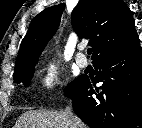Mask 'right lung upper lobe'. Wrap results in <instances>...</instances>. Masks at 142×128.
Returning <instances> with one entry per match:
<instances>
[{
  "mask_svg": "<svg viewBox=\"0 0 142 128\" xmlns=\"http://www.w3.org/2000/svg\"><path fill=\"white\" fill-rule=\"evenodd\" d=\"M63 9V4L54 5L33 19L20 45L16 66L38 60L58 28ZM71 19L80 38H91L93 63L139 42L131 11L122 0H81L73 9Z\"/></svg>",
  "mask_w": 142,
  "mask_h": 128,
  "instance_id": "1",
  "label": "right lung upper lobe"
}]
</instances>
